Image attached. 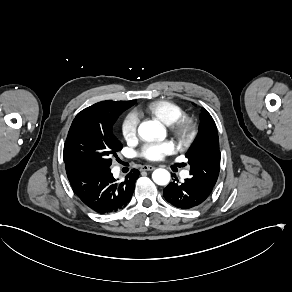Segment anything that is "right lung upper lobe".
<instances>
[{
  "label": "right lung upper lobe",
  "mask_w": 292,
  "mask_h": 292,
  "mask_svg": "<svg viewBox=\"0 0 292 292\" xmlns=\"http://www.w3.org/2000/svg\"><path fill=\"white\" fill-rule=\"evenodd\" d=\"M102 102H105L106 104H109V105H114V106H119V107H131L133 106L135 103H136V100L134 101H118V102H115V101H102Z\"/></svg>",
  "instance_id": "cb5924a9"
}]
</instances>
